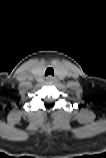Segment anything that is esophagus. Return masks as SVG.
<instances>
[{
  "label": "esophagus",
  "instance_id": "esophagus-1",
  "mask_svg": "<svg viewBox=\"0 0 106 158\" xmlns=\"http://www.w3.org/2000/svg\"><path fill=\"white\" fill-rule=\"evenodd\" d=\"M46 80H47L48 82H53V81L56 80V78L53 77V76H51V75H49V76L46 77Z\"/></svg>",
  "mask_w": 106,
  "mask_h": 158
}]
</instances>
